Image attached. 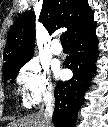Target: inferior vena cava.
I'll list each match as a JSON object with an SVG mask.
<instances>
[{"label":"inferior vena cava","instance_id":"1","mask_svg":"<svg viewBox=\"0 0 108 127\" xmlns=\"http://www.w3.org/2000/svg\"><path fill=\"white\" fill-rule=\"evenodd\" d=\"M45 106L41 109L40 113L44 117L45 127H53L52 116L54 111L55 99L51 92H48L44 97Z\"/></svg>","mask_w":108,"mask_h":127}]
</instances>
